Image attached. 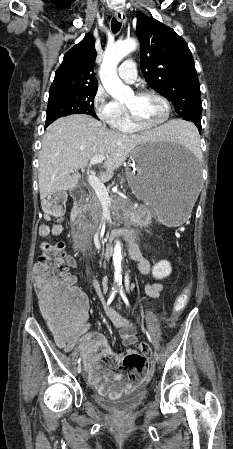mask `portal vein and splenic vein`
<instances>
[{
    "instance_id": "obj_1",
    "label": "portal vein and splenic vein",
    "mask_w": 233,
    "mask_h": 449,
    "mask_svg": "<svg viewBox=\"0 0 233 449\" xmlns=\"http://www.w3.org/2000/svg\"><path fill=\"white\" fill-rule=\"evenodd\" d=\"M106 159L105 155H98L94 156L90 160V165H95L97 163H101ZM88 181L91 187L94 189L96 196L100 200L102 204L108 205L112 201V198L109 196L106 187L101 182L100 179H98L95 175L90 174L88 176Z\"/></svg>"
}]
</instances>
